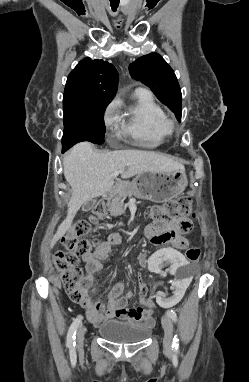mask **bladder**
Returning a JSON list of instances; mask_svg holds the SVG:
<instances>
[{"label": "bladder", "instance_id": "31cf9c89", "mask_svg": "<svg viewBox=\"0 0 249 382\" xmlns=\"http://www.w3.org/2000/svg\"><path fill=\"white\" fill-rule=\"evenodd\" d=\"M98 332L106 341L129 344L145 340L151 333V329L135 323L111 319L100 325Z\"/></svg>", "mask_w": 249, "mask_h": 382}]
</instances>
